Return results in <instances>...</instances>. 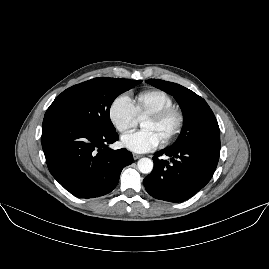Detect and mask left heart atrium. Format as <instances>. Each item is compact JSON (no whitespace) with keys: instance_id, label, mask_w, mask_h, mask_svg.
Here are the masks:
<instances>
[{"instance_id":"1","label":"left heart atrium","mask_w":269,"mask_h":269,"mask_svg":"<svg viewBox=\"0 0 269 269\" xmlns=\"http://www.w3.org/2000/svg\"><path fill=\"white\" fill-rule=\"evenodd\" d=\"M121 144L136 153L149 152L161 145L159 139L152 131H141L125 135L121 139Z\"/></svg>"}]
</instances>
